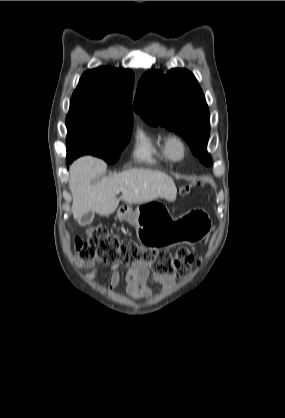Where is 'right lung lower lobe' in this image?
Wrapping results in <instances>:
<instances>
[{
    "mask_svg": "<svg viewBox=\"0 0 285 418\" xmlns=\"http://www.w3.org/2000/svg\"><path fill=\"white\" fill-rule=\"evenodd\" d=\"M67 163L69 164V163H72V161H67Z\"/></svg>",
    "mask_w": 285,
    "mask_h": 418,
    "instance_id": "obj_1",
    "label": "right lung lower lobe"
}]
</instances>
